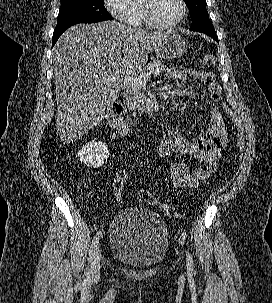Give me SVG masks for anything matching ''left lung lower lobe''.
Instances as JSON below:
<instances>
[{
  "label": "left lung lower lobe",
  "mask_w": 272,
  "mask_h": 303,
  "mask_svg": "<svg viewBox=\"0 0 272 303\" xmlns=\"http://www.w3.org/2000/svg\"><path fill=\"white\" fill-rule=\"evenodd\" d=\"M202 33L207 34L208 36L212 37L214 40H216L219 43L215 30L214 31H205Z\"/></svg>",
  "instance_id": "left-lung-lower-lobe-1"
}]
</instances>
